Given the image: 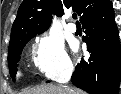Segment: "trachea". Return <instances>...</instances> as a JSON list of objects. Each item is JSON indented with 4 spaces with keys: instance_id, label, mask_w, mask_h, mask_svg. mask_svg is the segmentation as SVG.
<instances>
[{
    "instance_id": "1",
    "label": "trachea",
    "mask_w": 121,
    "mask_h": 94,
    "mask_svg": "<svg viewBox=\"0 0 121 94\" xmlns=\"http://www.w3.org/2000/svg\"><path fill=\"white\" fill-rule=\"evenodd\" d=\"M72 18H73V19H77V14H76V13H73V14H72Z\"/></svg>"
}]
</instances>
